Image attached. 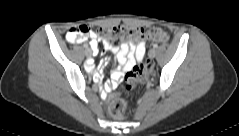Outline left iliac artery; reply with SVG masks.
Here are the masks:
<instances>
[{
    "label": "left iliac artery",
    "instance_id": "left-iliac-artery-1",
    "mask_svg": "<svg viewBox=\"0 0 239 136\" xmlns=\"http://www.w3.org/2000/svg\"><path fill=\"white\" fill-rule=\"evenodd\" d=\"M153 47H154V48H157V47H158V44H154Z\"/></svg>",
    "mask_w": 239,
    "mask_h": 136
}]
</instances>
